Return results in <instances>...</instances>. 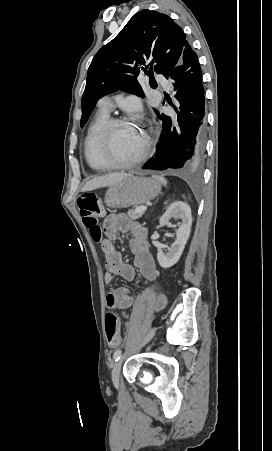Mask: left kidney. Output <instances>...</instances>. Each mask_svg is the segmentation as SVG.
Returning a JSON list of instances; mask_svg holds the SVG:
<instances>
[{"label":"left kidney","mask_w":272,"mask_h":451,"mask_svg":"<svg viewBox=\"0 0 272 451\" xmlns=\"http://www.w3.org/2000/svg\"><path fill=\"white\" fill-rule=\"evenodd\" d=\"M170 218L182 220V224L176 229V239L171 243V247L166 249V253L165 251H158L157 253V259L161 267H171V265L177 263L178 259H180V255L183 253L192 226L190 206L185 204V202H174V204L169 206L165 214L161 216L159 220L160 226H170Z\"/></svg>","instance_id":"left-kidney-1"}]
</instances>
